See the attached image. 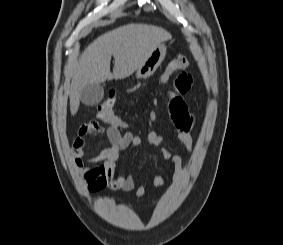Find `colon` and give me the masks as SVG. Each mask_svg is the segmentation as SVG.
Returning a JSON list of instances; mask_svg holds the SVG:
<instances>
[{"instance_id": "1", "label": "colon", "mask_w": 283, "mask_h": 245, "mask_svg": "<svg viewBox=\"0 0 283 245\" xmlns=\"http://www.w3.org/2000/svg\"><path fill=\"white\" fill-rule=\"evenodd\" d=\"M190 62L186 55H178L173 58L166 69L161 73L159 77V83L165 82L169 76L181 69L187 68ZM116 103V94L111 91L107 98L98 105V115L100 120L106 122L109 125L121 127L123 126V122L116 115L114 111V106Z\"/></svg>"}]
</instances>
